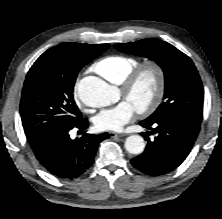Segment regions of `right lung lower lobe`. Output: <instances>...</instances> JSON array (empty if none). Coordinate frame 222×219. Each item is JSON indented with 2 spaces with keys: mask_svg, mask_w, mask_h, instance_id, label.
<instances>
[{
  "mask_svg": "<svg viewBox=\"0 0 222 219\" xmlns=\"http://www.w3.org/2000/svg\"><path fill=\"white\" fill-rule=\"evenodd\" d=\"M87 127L88 120L80 118L71 126L51 134L33 148L36 158L56 177L72 179L80 176L92 165L99 143L109 137L107 133H84L80 138H70L72 128L84 130Z\"/></svg>",
  "mask_w": 222,
  "mask_h": 219,
  "instance_id": "98d812e1",
  "label": "right lung lower lobe"
}]
</instances>
